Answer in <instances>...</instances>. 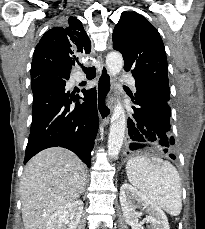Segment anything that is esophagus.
<instances>
[{"label": "esophagus", "instance_id": "esophagus-1", "mask_svg": "<svg viewBox=\"0 0 205 229\" xmlns=\"http://www.w3.org/2000/svg\"><path fill=\"white\" fill-rule=\"evenodd\" d=\"M99 58L102 60L101 56ZM112 91V79L111 75L104 65L101 63L98 82H97V110L100 121L103 124H107L111 117V104L109 97Z\"/></svg>", "mask_w": 205, "mask_h": 229}]
</instances>
